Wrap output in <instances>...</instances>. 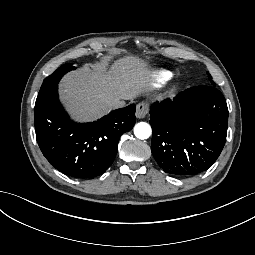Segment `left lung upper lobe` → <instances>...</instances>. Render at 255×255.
I'll return each mask as SVG.
<instances>
[{"label":"left lung upper lobe","mask_w":255,"mask_h":255,"mask_svg":"<svg viewBox=\"0 0 255 255\" xmlns=\"http://www.w3.org/2000/svg\"><path fill=\"white\" fill-rule=\"evenodd\" d=\"M209 77L212 78L210 75H209ZM211 82L213 83V85H215L214 82H213L212 80H211Z\"/></svg>","instance_id":"left-lung-upper-lobe-1"}]
</instances>
